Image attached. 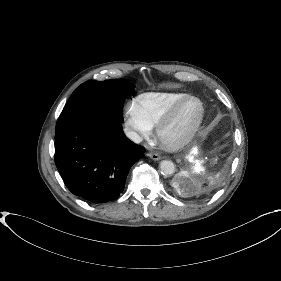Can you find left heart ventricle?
Instances as JSON below:
<instances>
[{
  "label": "left heart ventricle",
  "mask_w": 281,
  "mask_h": 281,
  "mask_svg": "<svg viewBox=\"0 0 281 281\" xmlns=\"http://www.w3.org/2000/svg\"><path fill=\"white\" fill-rule=\"evenodd\" d=\"M198 114V106L194 102L187 103L177 119L168 130V136L175 138L183 134L195 121Z\"/></svg>",
  "instance_id": "b2bd125f"
}]
</instances>
